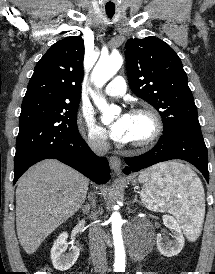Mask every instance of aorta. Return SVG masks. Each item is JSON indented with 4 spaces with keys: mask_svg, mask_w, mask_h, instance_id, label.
<instances>
[{
    "mask_svg": "<svg viewBox=\"0 0 215 274\" xmlns=\"http://www.w3.org/2000/svg\"><path fill=\"white\" fill-rule=\"evenodd\" d=\"M123 64V58L120 54H112L108 57H101L92 71V79L96 87H102L111 79ZM95 105L102 112V122L109 123L113 120L114 114L118 113L117 106H109L105 99L93 97ZM113 226V240L115 247L114 268L116 272H122L125 269V248L121 234L122 219L119 212L112 213L110 218Z\"/></svg>",
    "mask_w": 215,
    "mask_h": 274,
    "instance_id": "762f6f07",
    "label": "aorta"
}]
</instances>
